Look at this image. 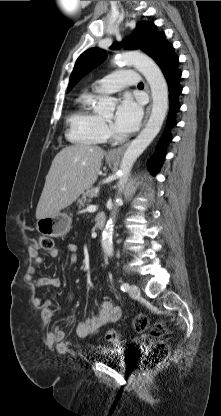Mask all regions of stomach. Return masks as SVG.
<instances>
[{"instance_id":"stomach-1","label":"stomach","mask_w":221,"mask_h":416,"mask_svg":"<svg viewBox=\"0 0 221 416\" xmlns=\"http://www.w3.org/2000/svg\"><path fill=\"white\" fill-rule=\"evenodd\" d=\"M115 159H107V162L114 163ZM37 230L40 234L47 237H62L71 227V218L64 213L41 218L37 221Z\"/></svg>"}]
</instances>
